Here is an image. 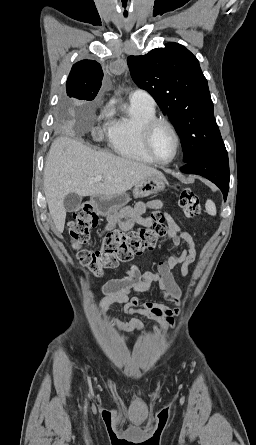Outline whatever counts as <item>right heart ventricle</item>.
<instances>
[{
  "instance_id": "e07e8e85",
  "label": "right heart ventricle",
  "mask_w": 256,
  "mask_h": 445,
  "mask_svg": "<svg viewBox=\"0 0 256 445\" xmlns=\"http://www.w3.org/2000/svg\"><path fill=\"white\" fill-rule=\"evenodd\" d=\"M154 118L155 108L130 103L126 116L114 119L108 124L109 146L114 152L128 159L152 163L142 145L141 129L146 122Z\"/></svg>"
}]
</instances>
